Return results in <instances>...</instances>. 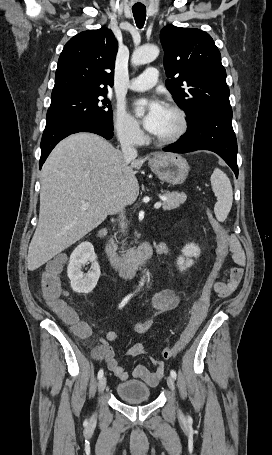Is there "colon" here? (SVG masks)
<instances>
[{"label": "colon", "mask_w": 272, "mask_h": 455, "mask_svg": "<svg viewBox=\"0 0 272 455\" xmlns=\"http://www.w3.org/2000/svg\"><path fill=\"white\" fill-rule=\"evenodd\" d=\"M213 228L216 233V257L212 269L202 288L200 297L191 308L190 321L182 332L180 338L170 347L161 351L163 359H169L181 351L193 338L199 326L206 317L209 309L214 283L224 266L229 254V234L225 226L212 218ZM63 260L61 257L50 261L41 275L40 295L45 303L50 306L65 322L73 326L74 331L80 336H87L89 327L78 320L75 310L65 302L66 291L63 288L60 274Z\"/></svg>", "instance_id": "1"}]
</instances>
